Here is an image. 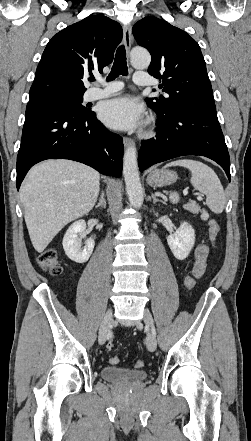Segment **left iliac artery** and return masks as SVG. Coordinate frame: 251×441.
I'll return each mask as SVG.
<instances>
[{
	"label": "left iliac artery",
	"mask_w": 251,
	"mask_h": 441,
	"mask_svg": "<svg viewBox=\"0 0 251 441\" xmlns=\"http://www.w3.org/2000/svg\"><path fill=\"white\" fill-rule=\"evenodd\" d=\"M152 332H153V334H154V335H156V331H155V329H154V328H153Z\"/></svg>",
	"instance_id": "44dca946"
}]
</instances>
